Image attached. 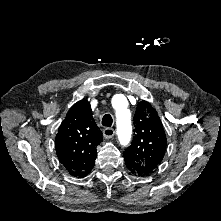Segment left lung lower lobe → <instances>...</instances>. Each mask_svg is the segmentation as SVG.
Wrapping results in <instances>:
<instances>
[{
  "label": "left lung lower lobe",
  "mask_w": 221,
  "mask_h": 221,
  "mask_svg": "<svg viewBox=\"0 0 221 221\" xmlns=\"http://www.w3.org/2000/svg\"><path fill=\"white\" fill-rule=\"evenodd\" d=\"M124 160H125V164L127 168L129 169L131 173L138 175V176H145L148 174L146 171L142 170L140 166L136 162L131 160L129 157L124 156Z\"/></svg>",
  "instance_id": "0a47b994"
}]
</instances>
